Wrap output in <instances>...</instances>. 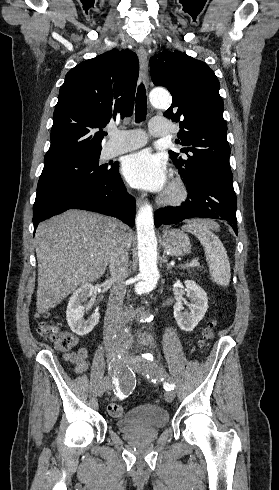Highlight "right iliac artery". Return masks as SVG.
Returning a JSON list of instances; mask_svg holds the SVG:
<instances>
[{
	"label": "right iliac artery",
	"instance_id": "1",
	"mask_svg": "<svg viewBox=\"0 0 279 490\" xmlns=\"http://www.w3.org/2000/svg\"><path fill=\"white\" fill-rule=\"evenodd\" d=\"M114 380H116L115 376L113 378ZM117 388L115 389V392H116V396L119 397V401L120 402H123L124 401V396H125V393H124V389L122 388L121 384H122V381L121 380H118L117 381Z\"/></svg>",
	"mask_w": 279,
	"mask_h": 490
}]
</instances>
